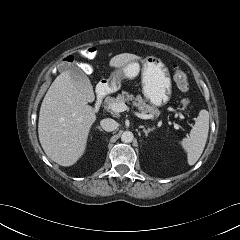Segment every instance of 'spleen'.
<instances>
[{
	"label": "spleen",
	"instance_id": "obj_1",
	"mask_svg": "<svg viewBox=\"0 0 240 240\" xmlns=\"http://www.w3.org/2000/svg\"><path fill=\"white\" fill-rule=\"evenodd\" d=\"M209 131V112L205 109L199 112L196 122L187 138H183L181 145L187 153V161L189 165H194L200 158Z\"/></svg>",
	"mask_w": 240,
	"mask_h": 240
}]
</instances>
